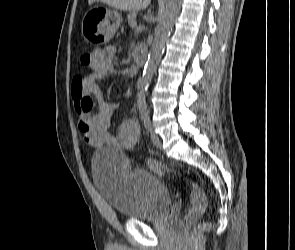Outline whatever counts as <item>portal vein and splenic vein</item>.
Returning <instances> with one entry per match:
<instances>
[{"label": "portal vein and splenic vein", "mask_w": 295, "mask_h": 250, "mask_svg": "<svg viewBox=\"0 0 295 250\" xmlns=\"http://www.w3.org/2000/svg\"><path fill=\"white\" fill-rule=\"evenodd\" d=\"M130 26H132V27H136V26H137V22H136V21L132 22V23L130 24Z\"/></svg>", "instance_id": "portal-vein-and-splenic-vein-1"}]
</instances>
